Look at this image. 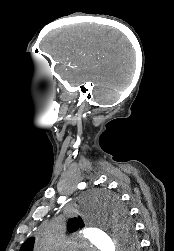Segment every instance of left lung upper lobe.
<instances>
[{"label":"left lung upper lobe","mask_w":174,"mask_h":251,"mask_svg":"<svg viewBox=\"0 0 174 251\" xmlns=\"http://www.w3.org/2000/svg\"><path fill=\"white\" fill-rule=\"evenodd\" d=\"M107 202H108L107 203L108 206L110 207V209H108L109 212L111 213L110 210H112L114 214L113 215L111 213V215H113V218L116 221L115 225L117 226V228H120V230H123L124 233H128L127 239L129 241L131 230H129V225L126 223V211L122 208L119 200L116 197L109 198ZM83 226H84V223L79 217L78 219L77 218L70 219L68 222L67 228L69 232H73L79 229V227H83ZM131 242H133L132 239H131ZM33 245H34V237H31L25 243H23V245L20 248V251H33Z\"/></svg>","instance_id":"5c2ea615"}]
</instances>
